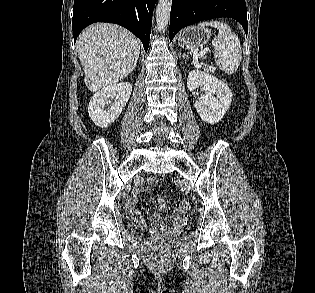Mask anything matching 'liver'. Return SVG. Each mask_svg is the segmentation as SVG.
<instances>
[{"mask_svg": "<svg viewBox=\"0 0 315 293\" xmlns=\"http://www.w3.org/2000/svg\"><path fill=\"white\" fill-rule=\"evenodd\" d=\"M77 49L86 87L91 92L115 84L135 68L139 54L138 39L115 24L97 23L78 37Z\"/></svg>", "mask_w": 315, "mask_h": 293, "instance_id": "liver-1", "label": "liver"}]
</instances>
